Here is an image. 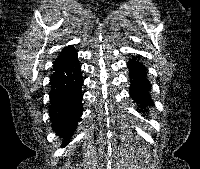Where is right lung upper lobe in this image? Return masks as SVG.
<instances>
[{
	"mask_svg": "<svg viewBox=\"0 0 200 169\" xmlns=\"http://www.w3.org/2000/svg\"><path fill=\"white\" fill-rule=\"evenodd\" d=\"M76 55H77V52H76L75 48L72 47V46H68L67 48H65L60 53V55L56 59L55 63H59V62H63L65 60L71 59V58H73Z\"/></svg>",
	"mask_w": 200,
	"mask_h": 169,
	"instance_id": "1",
	"label": "right lung upper lobe"
}]
</instances>
